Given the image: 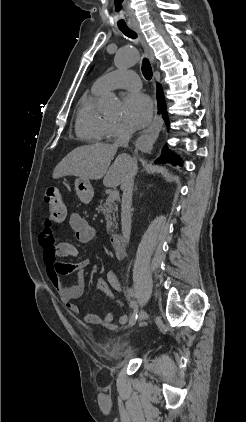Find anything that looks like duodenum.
Listing matches in <instances>:
<instances>
[{
  "instance_id": "1",
  "label": "duodenum",
  "mask_w": 246,
  "mask_h": 422,
  "mask_svg": "<svg viewBox=\"0 0 246 422\" xmlns=\"http://www.w3.org/2000/svg\"><path fill=\"white\" fill-rule=\"evenodd\" d=\"M110 243L115 252V255L118 258H122L125 254V246H124L122 235L117 232L111 234Z\"/></svg>"
}]
</instances>
